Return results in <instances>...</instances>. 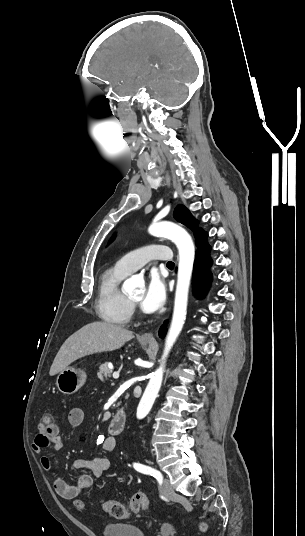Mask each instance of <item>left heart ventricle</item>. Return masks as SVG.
Returning <instances> with one entry per match:
<instances>
[{"mask_svg":"<svg viewBox=\"0 0 305 536\" xmlns=\"http://www.w3.org/2000/svg\"><path fill=\"white\" fill-rule=\"evenodd\" d=\"M129 298L132 299L135 302H138V303L141 302V300L143 298V290L135 293L134 295L130 296Z\"/></svg>","mask_w":305,"mask_h":536,"instance_id":"1","label":"left heart ventricle"}]
</instances>
